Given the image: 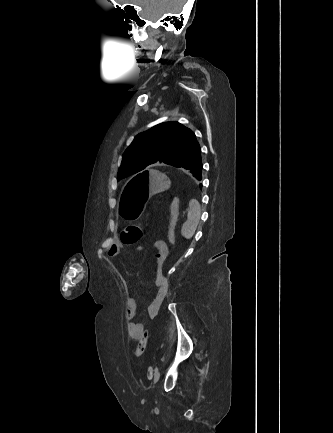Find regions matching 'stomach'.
Listing matches in <instances>:
<instances>
[{
	"label": "stomach",
	"mask_w": 333,
	"mask_h": 433,
	"mask_svg": "<svg viewBox=\"0 0 333 433\" xmlns=\"http://www.w3.org/2000/svg\"><path fill=\"white\" fill-rule=\"evenodd\" d=\"M169 188L162 169H147L132 177L123 187L118 205L119 215L129 222L145 210L146 201Z\"/></svg>",
	"instance_id": "1"
}]
</instances>
